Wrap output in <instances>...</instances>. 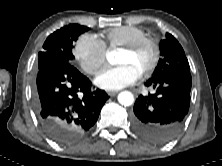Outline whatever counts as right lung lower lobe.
<instances>
[{
	"mask_svg": "<svg viewBox=\"0 0 222 166\" xmlns=\"http://www.w3.org/2000/svg\"><path fill=\"white\" fill-rule=\"evenodd\" d=\"M32 97L43 131L61 144L82 138L109 98L103 90H92L90 80L71 64L39 69Z\"/></svg>",
	"mask_w": 222,
	"mask_h": 166,
	"instance_id": "right-lung-lower-lobe-1",
	"label": "right lung lower lobe"
}]
</instances>
